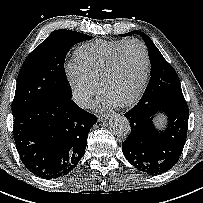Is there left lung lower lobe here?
I'll return each mask as SVG.
<instances>
[{"label":"left lung lower lobe","instance_id":"1","mask_svg":"<svg viewBox=\"0 0 203 203\" xmlns=\"http://www.w3.org/2000/svg\"><path fill=\"white\" fill-rule=\"evenodd\" d=\"M167 116L165 130L153 124L157 114ZM131 133L122 143L127 160L138 170L157 175L170 170L179 160L187 137L189 109L184 99L138 103L124 114Z\"/></svg>","mask_w":203,"mask_h":203}]
</instances>
